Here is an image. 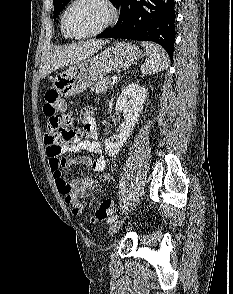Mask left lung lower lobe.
<instances>
[{"mask_svg": "<svg viewBox=\"0 0 233 294\" xmlns=\"http://www.w3.org/2000/svg\"><path fill=\"white\" fill-rule=\"evenodd\" d=\"M174 0H121L116 25L97 38H121L153 41L160 44L169 57L174 50Z\"/></svg>", "mask_w": 233, "mask_h": 294, "instance_id": "obj_1", "label": "left lung lower lobe"}]
</instances>
